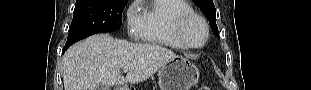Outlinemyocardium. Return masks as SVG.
I'll list each match as a JSON object with an SVG mask.
<instances>
[{"label": "myocardium", "mask_w": 311, "mask_h": 90, "mask_svg": "<svg viewBox=\"0 0 311 90\" xmlns=\"http://www.w3.org/2000/svg\"><path fill=\"white\" fill-rule=\"evenodd\" d=\"M195 20L201 22V24L204 27V38L198 44L193 43L187 37V34H186V29L188 25ZM175 34L177 38L179 39V41L182 43V45L185 46L186 48L198 49V48H202L207 43L209 39V35H210V30H209V25L207 23V20L202 15L192 12V13L181 15L177 19V22L175 25Z\"/></svg>", "instance_id": "1"}]
</instances>
